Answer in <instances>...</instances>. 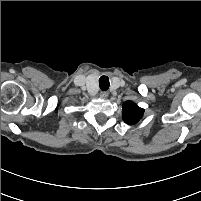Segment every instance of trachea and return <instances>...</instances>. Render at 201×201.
Returning <instances> with one entry per match:
<instances>
[{
    "mask_svg": "<svg viewBox=\"0 0 201 201\" xmlns=\"http://www.w3.org/2000/svg\"><path fill=\"white\" fill-rule=\"evenodd\" d=\"M110 86L109 78L107 76H101L99 78V87L102 91L108 90Z\"/></svg>",
    "mask_w": 201,
    "mask_h": 201,
    "instance_id": "1",
    "label": "trachea"
}]
</instances>
